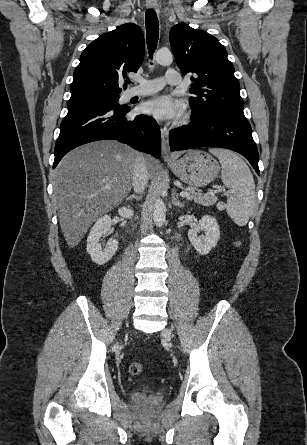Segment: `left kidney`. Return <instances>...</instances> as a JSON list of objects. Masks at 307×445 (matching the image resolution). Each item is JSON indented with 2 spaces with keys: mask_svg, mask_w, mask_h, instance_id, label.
Instances as JSON below:
<instances>
[{
  "mask_svg": "<svg viewBox=\"0 0 307 445\" xmlns=\"http://www.w3.org/2000/svg\"><path fill=\"white\" fill-rule=\"evenodd\" d=\"M203 231L204 235H198ZM188 237L191 245L196 249L199 255H207L213 247H216L220 233L216 218L214 216H202L198 225L188 231Z\"/></svg>",
  "mask_w": 307,
  "mask_h": 445,
  "instance_id": "1",
  "label": "left kidney"
}]
</instances>
